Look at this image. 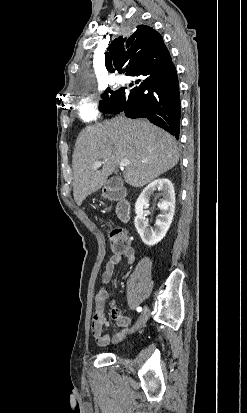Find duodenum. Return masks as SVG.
<instances>
[{
	"label": "duodenum",
	"mask_w": 247,
	"mask_h": 413,
	"mask_svg": "<svg viewBox=\"0 0 247 413\" xmlns=\"http://www.w3.org/2000/svg\"><path fill=\"white\" fill-rule=\"evenodd\" d=\"M106 197L110 201H118L119 206H118V217L124 221L127 222L129 220V203L125 199V194L123 190L121 189H113V188H108L105 191Z\"/></svg>",
	"instance_id": "410a0bca"
}]
</instances>
